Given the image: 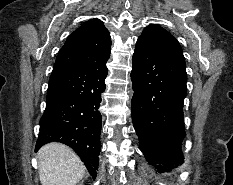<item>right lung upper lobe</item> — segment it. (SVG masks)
Instances as JSON below:
<instances>
[{
	"label": "right lung upper lobe",
	"instance_id": "right-lung-upper-lobe-1",
	"mask_svg": "<svg viewBox=\"0 0 233 185\" xmlns=\"http://www.w3.org/2000/svg\"><path fill=\"white\" fill-rule=\"evenodd\" d=\"M110 50L111 38L103 22L99 19L89 20L67 38L55 61L53 71L106 64Z\"/></svg>",
	"mask_w": 233,
	"mask_h": 185
}]
</instances>
